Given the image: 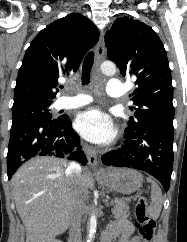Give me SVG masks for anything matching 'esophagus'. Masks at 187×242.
<instances>
[{"instance_id":"obj_1","label":"esophagus","mask_w":187,"mask_h":242,"mask_svg":"<svg viewBox=\"0 0 187 242\" xmlns=\"http://www.w3.org/2000/svg\"><path fill=\"white\" fill-rule=\"evenodd\" d=\"M105 48H104V33H100L99 41L96 46V64L98 65L104 56ZM86 155L88 158V163L90 168L94 172H102V168L100 167L99 161H98V156L96 151L90 147L86 146L85 147Z\"/></svg>"}]
</instances>
